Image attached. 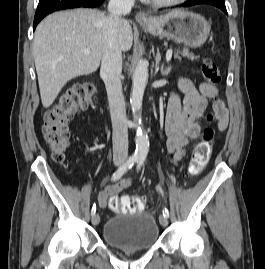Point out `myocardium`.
Returning a JSON list of instances; mask_svg holds the SVG:
<instances>
[{
  "instance_id": "1",
  "label": "myocardium",
  "mask_w": 265,
  "mask_h": 269,
  "mask_svg": "<svg viewBox=\"0 0 265 269\" xmlns=\"http://www.w3.org/2000/svg\"><path fill=\"white\" fill-rule=\"evenodd\" d=\"M152 5L157 7H169L174 6L180 3H183L186 0H148Z\"/></svg>"
}]
</instances>
